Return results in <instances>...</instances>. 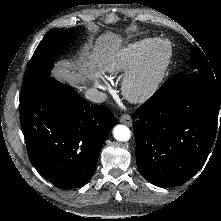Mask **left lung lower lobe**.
I'll list each match as a JSON object with an SVG mask.
<instances>
[{
    "label": "left lung lower lobe",
    "mask_w": 221,
    "mask_h": 221,
    "mask_svg": "<svg viewBox=\"0 0 221 221\" xmlns=\"http://www.w3.org/2000/svg\"><path fill=\"white\" fill-rule=\"evenodd\" d=\"M220 104V80L197 73L171 77L145 102L133 130L147 181L181 185L200 170L221 128Z\"/></svg>",
    "instance_id": "0a47b994"
}]
</instances>
